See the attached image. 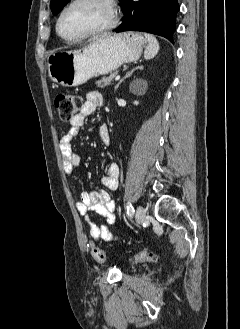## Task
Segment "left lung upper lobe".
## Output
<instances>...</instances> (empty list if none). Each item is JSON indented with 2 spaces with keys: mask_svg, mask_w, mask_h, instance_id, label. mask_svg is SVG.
Instances as JSON below:
<instances>
[{
  "mask_svg": "<svg viewBox=\"0 0 240 329\" xmlns=\"http://www.w3.org/2000/svg\"><path fill=\"white\" fill-rule=\"evenodd\" d=\"M69 1L70 0H51L50 8L52 10V13L54 15H57ZM120 1L123 7L125 0H120Z\"/></svg>",
  "mask_w": 240,
  "mask_h": 329,
  "instance_id": "5c2ea615",
  "label": "left lung upper lobe"
}]
</instances>
